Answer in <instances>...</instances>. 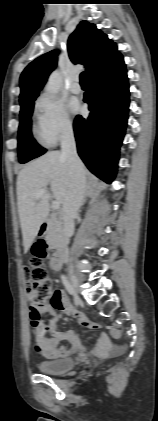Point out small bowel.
I'll list each match as a JSON object with an SVG mask.
<instances>
[{
  "mask_svg": "<svg viewBox=\"0 0 158 421\" xmlns=\"http://www.w3.org/2000/svg\"><path fill=\"white\" fill-rule=\"evenodd\" d=\"M39 314H48V320H38L32 323L35 339V349L47 358L55 359L68 355L71 349L65 345L59 344L68 340L73 347L79 346V339L75 328L60 330L58 323L60 321L59 313H64L75 318L79 328L95 331L97 326L92 323L84 314L74 310L69 299L60 289L53 291L51 300L44 306L38 308ZM109 339L100 336L98 339L97 351L104 352L109 348Z\"/></svg>",
  "mask_w": 158,
  "mask_h": 421,
  "instance_id": "small-bowel-1",
  "label": "small bowel"
}]
</instances>
